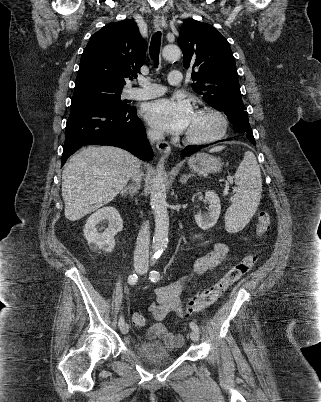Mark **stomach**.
<instances>
[{"label": "stomach", "instance_id": "0dacf381", "mask_svg": "<svg viewBox=\"0 0 321 402\" xmlns=\"http://www.w3.org/2000/svg\"><path fill=\"white\" fill-rule=\"evenodd\" d=\"M188 164L194 173L203 175L217 173L222 167L220 159L206 153H197L193 155L189 158Z\"/></svg>", "mask_w": 321, "mask_h": 402}]
</instances>
